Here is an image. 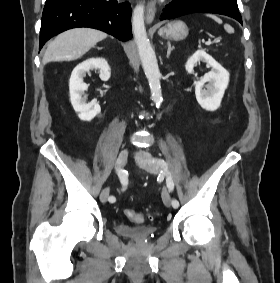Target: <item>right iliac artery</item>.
<instances>
[{"label":"right iliac artery","mask_w":280,"mask_h":283,"mask_svg":"<svg viewBox=\"0 0 280 283\" xmlns=\"http://www.w3.org/2000/svg\"><path fill=\"white\" fill-rule=\"evenodd\" d=\"M118 177H119V179H120V182H121L123 185H126V184H127V174H126V171H125V170L119 169V170H118ZM108 200H109L111 203H115V202H116L115 196H110Z\"/></svg>","instance_id":"1"}]
</instances>
